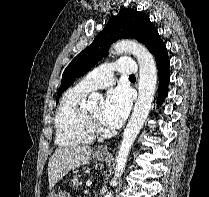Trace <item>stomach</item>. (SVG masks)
I'll list each match as a JSON object with an SVG mask.
<instances>
[{
    "label": "stomach",
    "instance_id": "1",
    "mask_svg": "<svg viewBox=\"0 0 209 197\" xmlns=\"http://www.w3.org/2000/svg\"><path fill=\"white\" fill-rule=\"evenodd\" d=\"M98 160H104L108 157V154H100V153H95L94 155ZM48 197H70V195L67 192H51Z\"/></svg>",
    "mask_w": 209,
    "mask_h": 197
}]
</instances>
